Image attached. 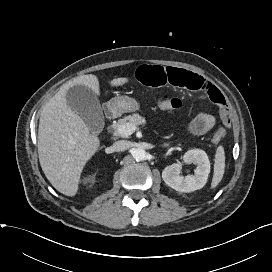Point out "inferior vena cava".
Here are the masks:
<instances>
[{"label":"inferior vena cava","mask_w":272,"mask_h":272,"mask_svg":"<svg viewBox=\"0 0 272 272\" xmlns=\"http://www.w3.org/2000/svg\"><path fill=\"white\" fill-rule=\"evenodd\" d=\"M130 142L125 140L116 141L112 145V149L116 152L125 151L130 148Z\"/></svg>","instance_id":"1"}]
</instances>
